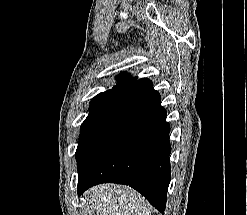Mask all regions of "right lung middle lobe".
<instances>
[{"mask_svg": "<svg viewBox=\"0 0 247 215\" xmlns=\"http://www.w3.org/2000/svg\"><path fill=\"white\" fill-rule=\"evenodd\" d=\"M125 90H109L95 96L89 107V115L82 123L80 128V136L77 151L84 142L92 128L99 122V120L110 110V108L120 99ZM76 151V153H77Z\"/></svg>", "mask_w": 247, "mask_h": 215, "instance_id": "obj_1", "label": "right lung middle lobe"}]
</instances>
